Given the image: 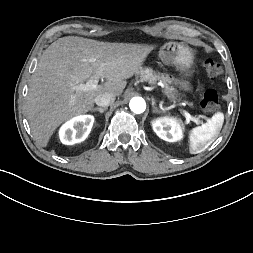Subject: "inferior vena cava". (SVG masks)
<instances>
[{"label":"inferior vena cava","instance_id":"inferior-vena-cava-1","mask_svg":"<svg viewBox=\"0 0 253 253\" xmlns=\"http://www.w3.org/2000/svg\"><path fill=\"white\" fill-rule=\"evenodd\" d=\"M115 101V96L111 93H103L95 98V103L100 107H107Z\"/></svg>","mask_w":253,"mask_h":253}]
</instances>
